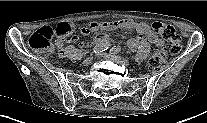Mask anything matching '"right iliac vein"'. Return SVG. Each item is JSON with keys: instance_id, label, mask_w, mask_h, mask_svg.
I'll use <instances>...</instances> for the list:
<instances>
[{"instance_id": "1", "label": "right iliac vein", "mask_w": 207, "mask_h": 123, "mask_svg": "<svg viewBox=\"0 0 207 123\" xmlns=\"http://www.w3.org/2000/svg\"><path fill=\"white\" fill-rule=\"evenodd\" d=\"M93 61V57H88L83 61L84 66H88Z\"/></svg>"}]
</instances>
